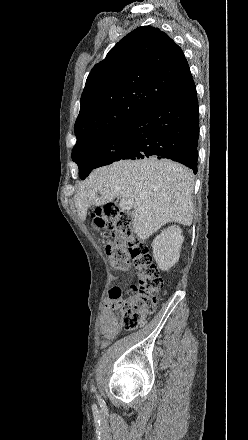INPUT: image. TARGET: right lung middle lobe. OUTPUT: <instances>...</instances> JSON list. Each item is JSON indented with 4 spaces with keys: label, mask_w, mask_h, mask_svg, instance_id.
Segmentation results:
<instances>
[{
    "label": "right lung middle lobe",
    "mask_w": 248,
    "mask_h": 440,
    "mask_svg": "<svg viewBox=\"0 0 248 440\" xmlns=\"http://www.w3.org/2000/svg\"><path fill=\"white\" fill-rule=\"evenodd\" d=\"M129 143V128L124 125L103 137L73 149L72 159L78 163L80 178L85 179L95 168L120 160L127 151Z\"/></svg>",
    "instance_id": "1"
}]
</instances>
